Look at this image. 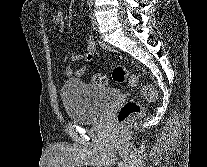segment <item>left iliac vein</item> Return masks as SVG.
Returning <instances> with one entry per match:
<instances>
[{
    "mask_svg": "<svg viewBox=\"0 0 207 167\" xmlns=\"http://www.w3.org/2000/svg\"><path fill=\"white\" fill-rule=\"evenodd\" d=\"M91 19H92V24H93L94 29L97 30L98 29V22H97V19H96L94 13L91 16Z\"/></svg>",
    "mask_w": 207,
    "mask_h": 167,
    "instance_id": "1",
    "label": "left iliac vein"
}]
</instances>
